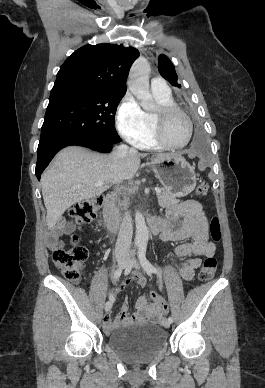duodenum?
I'll return each instance as SVG.
<instances>
[{"mask_svg":"<svg viewBox=\"0 0 265 388\" xmlns=\"http://www.w3.org/2000/svg\"><path fill=\"white\" fill-rule=\"evenodd\" d=\"M115 202L116 196L114 194L106 195L103 202L104 220L111 231H117L121 224ZM148 226L153 234H159L164 229V222L160 217H152L148 220Z\"/></svg>","mask_w":265,"mask_h":388,"instance_id":"duodenum-1","label":"duodenum"}]
</instances>
